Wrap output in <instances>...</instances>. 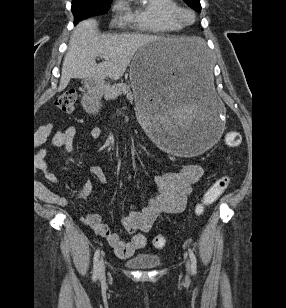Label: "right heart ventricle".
<instances>
[{
    "instance_id": "obj_1",
    "label": "right heart ventricle",
    "mask_w": 286,
    "mask_h": 308,
    "mask_svg": "<svg viewBox=\"0 0 286 308\" xmlns=\"http://www.w3.org/2000/svg\"><path fill=\"white\" fill-rule=\"evenodd\" d=\"M176 5L175 0H146L144 4L127 7L125 19L137 31L154 34L178 32L182 25L170 14Z\"/></svg>"
}]
</instances>
